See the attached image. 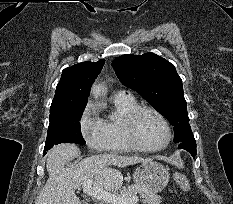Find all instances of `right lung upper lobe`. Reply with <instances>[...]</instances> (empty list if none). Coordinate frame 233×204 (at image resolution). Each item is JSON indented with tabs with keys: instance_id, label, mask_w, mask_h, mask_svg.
Returning <instances> with one entry per match:
<instances>
[{
	"instance_id": "obj_1",
	"label": "right lung upper lobe",
	"mask_w": 233,
	"mask_h": 204,
	"mask_svg": "<svg viewBox=\"0 0 233 204\" xmlns=\"http://www.w3.org/2000/svg\"><path fill=\"white\" fill-rule=\"evenodd\" d=\"M105 60L82 62L62 71L51 106L87 103L90 88Z\"/></svg>"
}]
</instances>
